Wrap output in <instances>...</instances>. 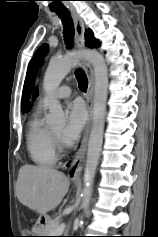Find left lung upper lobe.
Masks as SVG:
<instances>
[{"label": "left lung upper lobe", "instance_id": "obj_1", "mask_svg": "<svg viewBox=\"0 0 158 237\" xmlns=\"http://www.w3.org/2000/svg\"><path fill=\"white\" fill-rule=\"evenodd\" d=\"M85 38H86V45L88 47L93 48V47L99 46V41L94 38L93 33L90 29L87 30ZM43 53H44V48L42 47L39 48L28 66L26 79H25V83L23 87V94H22V111L24 110L26 102L29 99L31 88L34 81V72L36 69V65Z\"/></svg>", "mask_w": 158, "mask_h": 237}]
</instances>
